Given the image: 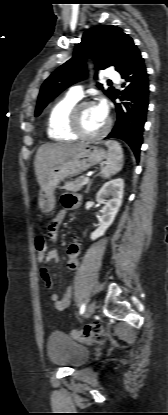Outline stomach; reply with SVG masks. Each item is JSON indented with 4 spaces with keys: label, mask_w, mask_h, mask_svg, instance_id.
I'll use <instances>...</instances> for the list:
<instances>
[{
    "label": "stomach",
    "mask_w": 168,
    "mask_h": 415,
    "mask_svg": "<svg viewBox=\"0 0 168 415\" xmlns=\"http://www.w3.org/2000/svg\"><path fill=\"white\" fill-rule=\"evenodd\" d=\"M107 157L106 151L91 144L83 147L73 156L55 165L45 178L39 192V208L43 213H50L55 207L54 191L62 180L76 176Z\"/></svg>",
    "instance_id": "obj_1"
}]
</instances>
